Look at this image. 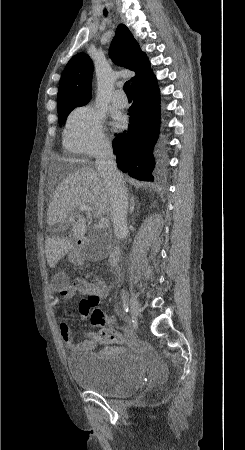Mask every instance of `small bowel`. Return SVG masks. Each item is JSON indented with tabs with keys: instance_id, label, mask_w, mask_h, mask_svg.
I'll return each instance as SVG.
<instances>
[{
	"instance_id": "small-bowel-1",
	"label": "small bowel",
	"mask_w": 245,
	"mask_h": 450,
	"mask_svg": "<svg viewBox=\"0 0 245 450\" xmlns=\"http://www.w3.org/2000/svg\"><path fill=\"white\" fill-rule=\"evenodd\" d=\"M93 285V297L98 300L103 299L107 294L109 285L100 280L95 281ZM75 291V287L70 286L65 291H62L59 294H53L51 297V305L54 308L59 307L61 298L71 297ZM86 303L87 301L81 303L79 306L78 315L80 319H87L89 316V313L85 311L84 308ZM61 338L66 346L67 351L72 354L94 350L98 346V344H100V342L96 339L94 333L87 334V336L81 342L74 341L71 337L70 325L66 322L61 323ZM127 343L128 346H133L136 344V340L133 336L128 335ZM126 349V346H106L103 348V352L111 355H119L125 352Z\"/></svg>"
}]
</instances>
